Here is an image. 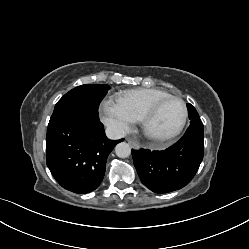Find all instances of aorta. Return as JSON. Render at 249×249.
<instances>
[{"mask_svg": "<svg viewBox=\"0 0 249 249\" xmlns=\"http://www.w3.org/2000/svg\"><path fill=\"white\" fill-rule=\"evenodd\" d=\"M115 153L119 158H127L131 154V147L126 142H121L116 145Z\"/></svg>", "mask_w": 249, "mask_h": 249, "instance_id": "obj_1", "label": "aorta"}]
</instances>
